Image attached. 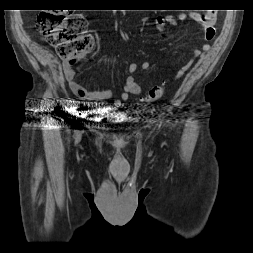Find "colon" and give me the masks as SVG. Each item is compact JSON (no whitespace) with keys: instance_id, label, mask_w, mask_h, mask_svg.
I'll return each instance as SVG.
<instances>
[{"instance_id":"obj_1","label":"colon","mask_w":253,"mask_h":253,"mask_svg":"<svg viewBox=\"0 0 253 253\" xmlns=\"http://www.w3.org/2000/svg\"><path fill=\"white\" fill-rule=\"evenodd\" d=\"M86 20L80 15L44 12L38 16L37 27L53 45L58 55L70 65L79 61L93 46V39L86 31ZM164 92L162 85L151 88L144 96L146 102L159 99Z\"/></svg>"}]
</instances>
